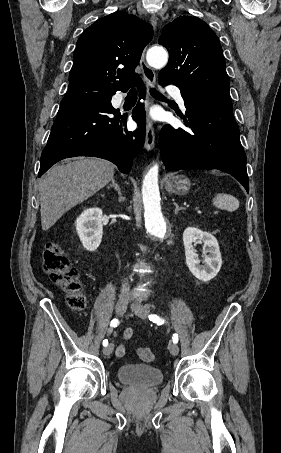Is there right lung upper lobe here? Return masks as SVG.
<instances>
[{"mask_svg": "<svg viewBox=\"0 0 281 453\" xmlns=\"http://www.w3.org/2000/svg\"><path fill=\"white\" fill-rule=\"evenodd\" d=\"M152 36L150 24L121 11L94 22L77 41L67 95L128 90Z\"/></svg>", "mask_w": 281, "mask_h": 453, "instance_id": "cb5924a9", "label": "right lung upper lobe"}]
</instances>
